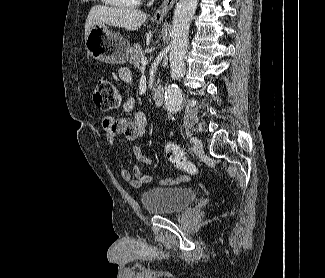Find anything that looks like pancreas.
I'll return each mask as SVG.
<instances>
[{"label":"pancreas","mask_w":325,"mask_h":278,"mask_svg":"<svg viewBox=\"0 0 325 278\" xmlns=\"http://www.w3.org/2000/svg\"><path fill=\"white\" fill-rule=\"evenodd\" d=\"M144 55L141 46L138 43H135L130 49V63L133 64L135 68H139L141 59Z\"/></svg>","instance_id":"pancreas-1"}]
</instances>
